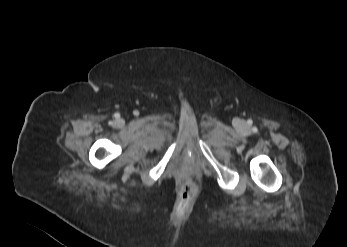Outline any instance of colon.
<instances>
[{"label": "colon", "mask_w": 347, "mask_h": 247, "mask_svg": "<svg viewBox=\"0 0 347 247\" xmlns=\"http://www.w3.org/2000/svg\"><path fill=\"white\" fill-rule=\"evenodd\" d=\"M184 191L190 195L195 194L196 190H195V186H194V182L192 178H189L186 180L184 184Z\"/></svg>", "instance_id": "1"}]
</instances>
